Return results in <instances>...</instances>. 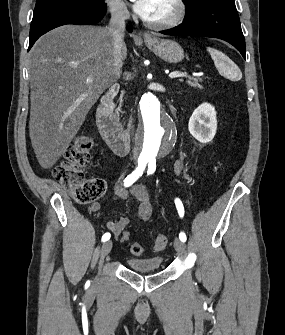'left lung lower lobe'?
<instances>
[{
    "instance_id": "obj_1",
    "label": "left lung lower lobe",
    "mask_w": 285,
    "mask_h": 335,
    "mask_svg": "<svg viewBox=\"0 0 285 335\" xmlns=\"http://www.w3.org/2000/svg\"><path fill=\"white\" fill-rule=\"evenodd\" d=\"M186 12L182 24L161 33L219 38L232 44L245 59V40L234 0H203Z\"/></svg>"
}]
</instances>
